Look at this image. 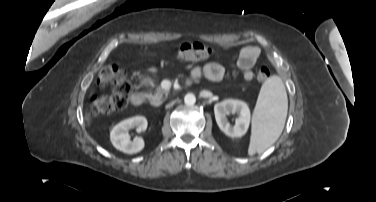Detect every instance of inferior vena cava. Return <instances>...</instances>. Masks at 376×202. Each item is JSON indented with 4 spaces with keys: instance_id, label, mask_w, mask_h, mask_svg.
Wrapping results in <instances>:
<instances>
[{
    "instance_id": "inferior-vena-cava-1",
    "label": "inferior vena cava",
    "mask_w": 376,
    "mask_h": 202,
    "mask_svg": "<svg viewBox=\"0 0 376 202\" xmlns=\"http://www.w3.org/2000/svg\"><path fill=\"white\" fill-rule=\"evenodd\" d=\"M173 104V103H172ZM172 104L167 105L166 107H170Z\"/></svg>"
}]
</instances>
